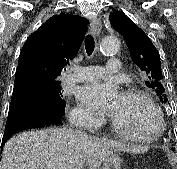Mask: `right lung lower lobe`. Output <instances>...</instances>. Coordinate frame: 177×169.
Listing matches in <instances>:
<instances>
[{"mask_svg": "<svg viewBox=\"0 0 177 169\" xmlns=\"http://www.w3.org/2000/svg\"><path fill=\"white\" fill-rule=\"evenodd\" d=\"M29 79H19L14 82V91L9 107L7 124L2 139V146L15 133L28 128L62 124L61 118L65 113L63 108H54L49 104L28 99ZM23 90H26L24 92Z\"/></svg>", "mask_w": 177, "mask_h": 169, "instance_id": "1", "label": "right lung lower lobe"}]
</instances>
